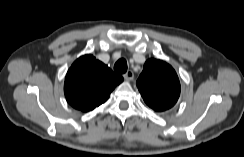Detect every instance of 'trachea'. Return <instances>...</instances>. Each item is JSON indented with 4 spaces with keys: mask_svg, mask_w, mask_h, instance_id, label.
I'll use <instances>...</instances> for the list:
<instances>
[{
    "mask_svg": "<svg viewBox=\"0 0 244 157\" xmlns=\"http://www.w3.org/2000/svg\"><path fill=\"white\" fill-rule=\"evenodd\" d=\"M114 70L117 73L123 74L127 71V62L125 59H119L115 65Z\"/></svg>",
    "mask_w": 244,
    "mask_h": 157,
    "instance_id": "obj_1",
    "label": "trachea"
}]
</instances>
